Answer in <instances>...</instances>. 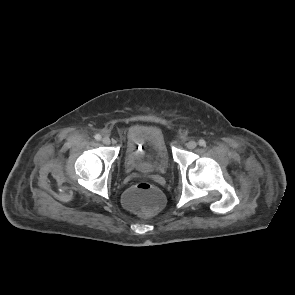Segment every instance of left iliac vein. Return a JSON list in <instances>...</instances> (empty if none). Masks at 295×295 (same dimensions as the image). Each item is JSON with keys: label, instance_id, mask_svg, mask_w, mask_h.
I'll list each match as a JSON object with an SVG mask.
<instances>
[{"label": "left iliac vein", "instance_id": "left-iliac-vein-1", "mask_svg": "<svg viewBox=\"0 0 295 295\" xmlns=\"http://www.w3.org/2000/svg\"><path fill=\"white\" fill-rule=\"evenodd\" d=\"M188 149H194L197 147V142L190 140L187 144H186Z\"/></svg>", "mask_w": 295, "mask_h": 295}]
</instances>
